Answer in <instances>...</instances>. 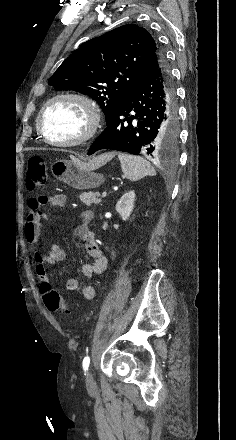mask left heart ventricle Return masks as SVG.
I'll list each match as a JSON object with an SVG mask.
<instances>
[{"instance_id":"left-heart-ventricle-1","label":"left heart ventricle","mask_w":236,"mask_h":440,"mask_svg":"<svg viewBox=\"0 0 236 440\" xmlns=\"http://www.w3.org/2000/svg\"><path fill=\"white\" fill-rule=\"evenodd\" d=\"M43 124L49 139L69 141L76 139L84 132L86 115L74 102L57 101L46 110Z\"/></svg>"}]
</instances>
